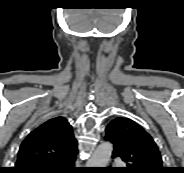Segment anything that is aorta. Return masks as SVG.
<instances>
[{"label": "aorta", "mask_w": 184, "mask_h": 173, "mask_svg": "<svg viewBox=\"0 0 184 173\" xmlns=\"http://www.w3.org/2000/svg\"><path fill=\"white\" fill-rule=\"evenodd\" d=\"M113 145L110 142L101 143L87 162L88 167H106L110 161Z\"/></svg>", "instance_id": "762f6f07"}]
</instances>
